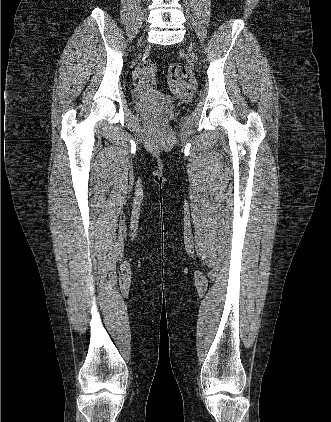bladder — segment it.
<instances>
[{
  "label": "bladder",
  "mask_w": 331,
  "mask_h": 422,
  "mask_svg": "<svg viewBox=\"0 0 331 422\" xmlns=\"http://www.w3.org/2000/svg\"><path fill=\"white\" fill-rule=\"evenodd\" d=\"M144 99H145V100H150V99H152V98L148 96V97H145Z\"/></svg>",
  "instance_id": "1"
}]
</instances>
